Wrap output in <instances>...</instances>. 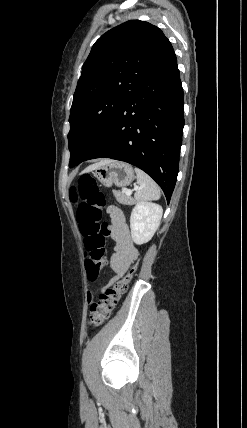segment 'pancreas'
Masks as SVG:
<instances>
[{"label":"pancreas","mask_w":247,"mask_h":428,"mask_svg":"<svg viewBox=\"0 0 247 428\" xmlns=\"http://www.w3.org/2000/svg\"><path fill=\"white\" fill-rule=\"evenodd\" d=\"M113 194L116 198V200L124 205H134L136 203L135 199H133L131 196L125 195L124 193L120 191H113Z\"/></svg>","instance_id":"cf45deb5"}]
</instances>
